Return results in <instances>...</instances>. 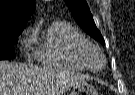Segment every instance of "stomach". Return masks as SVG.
Listing matches in <instances>:
<instances>
[{
    "instance_id": "obj_1",
    "label": "stomach",
    "mask_w": 135,
    "mask_h": 95,
    "mask_svg": "<svg viewBox=\"0 0 135 95\" xmlns=\"http://www.w3.org/2000/svg\"><path fill=\"white\" fill-rule=\"evenodd\" d=\"M70 95H98V93L92 84L84 82L79 86L73 87Z\"/></svg>"
}]
</instances>
